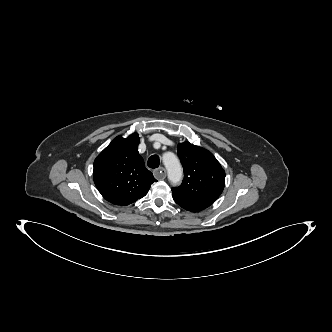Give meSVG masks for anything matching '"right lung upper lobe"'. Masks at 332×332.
<instances>
[{
  "label": "right lung upper lobe",
  "mask_w": 332,
  "mask_h": 332,
  "mask_svg": "<svg viewBox=\"0 0 332 332\" xmlns=\"http://www.w3.org/2000/svg\"><path fill=\"white\" fill-rule=\"evenodd\" d=\"M139 137H116L95 159L93 179L110 203L129 205L145 196L156 181L138 154Z\"/></svg>",
  "instance_id": "obj_1"
}]
</instances>
